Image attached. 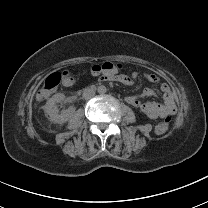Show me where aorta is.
<instances>
[{"label":"aorta","mask_w":208,"mask_h":208,"mask_svg":"<svg viewBox=\"0 0 208 208\" xmlns=\"http://www.w3.org/2000/svg\"><path fill=\"white\" fill-rule=\"evenodd\" d=\"M97 92H98L99 95L105 96V95L108 94L109 89H108L107 86L101 85V86L98 87Z\"/></svg>","instance_id":"obj_1"}]
</instances>
